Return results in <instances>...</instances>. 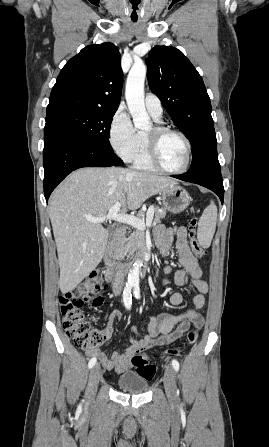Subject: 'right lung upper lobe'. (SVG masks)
<instances>
[{
	"label": "right lung upper lobe",
	"mask_w": 269,
	"mask_h": 447,
	"mask_svg": "<svg viewBox=\"0 0 269 447\" xmlns=\"http://www.w3.org/2000/svg\"><path fill=\"white\" fill-rule=\"evenodd\" d=\"M112 43L88 45L61 70L50 94L47 113L63 108L117 110L123 73Z\"/></svg>",
	"instance_id": "cb5924a9"
}]
</instances>
